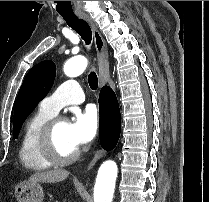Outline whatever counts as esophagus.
<instances>
[{
  "label": "esophagus",
  "mask_w": 209,
  "mask_h": 202,
  "mask_svg": "<svg viewBox=\"0 0 209 202\" xmlns=\"http://www.w3.org/2000/svg\"><path fill=\"white\" fill-rule=\"evenodd\" d=\"M78 16L85 20L93 33V38H94V44L96 48V54H97V59H98V71H99V84L100 86L104 85L107 81L108 77V49L107 45L100 34V32L97 29L96 24L93 22V20L86 14V13H79ZM105 155V151L103 149H99L95 152L92 160L90 161L88 165V170H90L95 163L102 158Z\"/></svg>",
  "instance_id": "obj_1"
}]
</instances>
